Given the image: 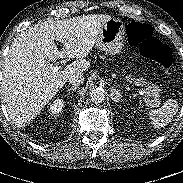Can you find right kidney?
<instances>
[{
  "instance_id": "ca27d5eb",
  "label": "right kidney",
  "mask_w": 183,
  "mask_h": 183,
  "mask_svg": "<svg viewBox=\"0 0 183 183\" xmlns=\"http://www.w3.org/2000/svg\"><path fill=\"white\" fill-rule=\"evenodd\" d=\"M64 106L63 100L57 99L50 104L51 115L59 114Z\"/></svg>"
}]
</instances>
